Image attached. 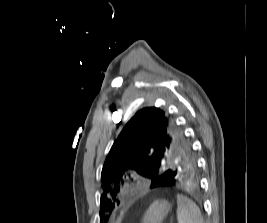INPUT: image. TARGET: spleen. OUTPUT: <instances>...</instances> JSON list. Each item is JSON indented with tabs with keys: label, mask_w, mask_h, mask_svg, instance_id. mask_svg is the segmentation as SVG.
I'll return each mask as SVG.
<instances>
[{
	"label": "spleen",
	"mask_w": 267,
	"mask_h": 223,
	"mask_svg": "<svg viewBox=\"0 0 267 223\" xmlns=\"http://www.w3.org/2000/svg\"><path fill=\"white\" fill-rule=\"evenodd\" d=\"M178 223H203L200 209L189 198L177 195Z\"/></svg>",
	"instance_id": "3e777b00"
}]
</instances>
